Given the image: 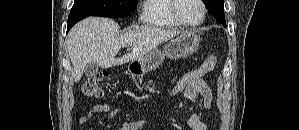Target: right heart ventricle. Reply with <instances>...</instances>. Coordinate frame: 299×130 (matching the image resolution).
<instances>
[{
  "label": "right heart ventricle",
  "instance_id": "1",
  "mask_svg": "<svg viewBox=\"0 0 299 130\" xmlns=\"http://www.w3.org/2000/svg\"><path fill=\"white\" fill-rule=\"evenodd\" d=\"M142 19L145 24L160 28H179L171 12V0H146Z\"/></svg>",
  "mask_w": 299,
  "mask_h": 130
}]
</instances>
